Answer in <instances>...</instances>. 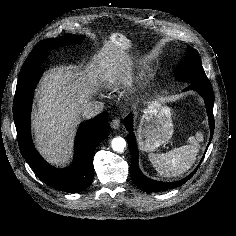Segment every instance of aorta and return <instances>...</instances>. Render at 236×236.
I'll list each match as a JSON object with an SVG mask.
<instances>
[{
  "label": "aorta",
  "mask_w": 236,
  "mask_h": 236,
  "mask_svg": "<svg viewBox=\"0 0 236 236\" xmlns=\"http://www.w3.org/2000/svg\"><path fill=\"white\" fill-rule=\"evenodd\" d=\"M111 145H112V149L114 151L122 152V151H124V149L126 147V141L122 137H115V138H113Z\"/></svg>",
  "instance_id": "obj_1"
}]
</instances>
